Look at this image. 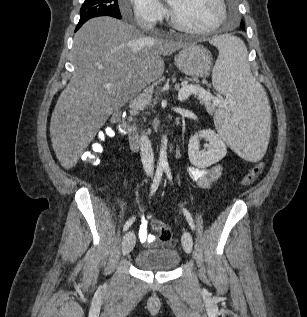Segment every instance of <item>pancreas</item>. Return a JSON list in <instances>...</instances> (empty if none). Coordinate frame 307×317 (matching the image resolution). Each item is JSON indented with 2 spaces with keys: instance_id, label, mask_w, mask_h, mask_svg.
<instances>
[{
  "instance_id": "1",
  "label": "pancreas",
  "mask_w": 307,
  "mask_h": 317,
  "mask_svg": "<svg viewBox=\"0 0 307 317\" xmlns=\"http://www.w3.org/2000/svg\"><path fill=\"white\" fill-rule=\"evenodd\" d=\"M198 97V96H197ZM201 103H203L209 113H212L214 111V104L210 100H203L200 97H198Z\"/></svg>"
}]
</instances>
